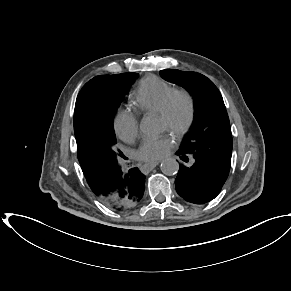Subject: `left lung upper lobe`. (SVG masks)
<instances>
[{
  "instance_id": "5c2ea615",
  "label": "left lung upper lobe",
  "mask_w": 291,
  "mask_h": 291,
  "mask_svg": "<svg viewBox=\"0 0 291 291\" xmlns=\"http://www.w3.org/2000/svg\"><path fill=\"white\" fill-rule=\"evenodd\" d=\"M160 74L165 80L185 88L195 102L193 127L178 151L230 169L232 134L226 107L217 87L197 72L166 69Z\"/></svg>"
}]
</instances>
